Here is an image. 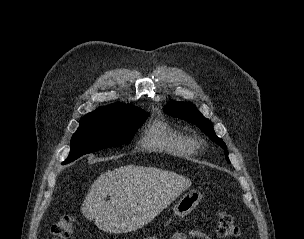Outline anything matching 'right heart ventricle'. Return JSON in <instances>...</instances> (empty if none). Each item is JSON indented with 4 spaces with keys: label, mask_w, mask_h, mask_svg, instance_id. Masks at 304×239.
Instances as JSON below:
<instances>
[{
    "label": "right heart ventricle",
    "mask_w": 304,
    "mask_h": 239,
    "mask_svg": "<svg viewBox=\"0 0 304 239\" xmlns=\"http://www.w3.org/2000/svg\"><path fill=\"white\" fill-rule=\"evenodd\" d=\"M141 144L149 150L182 157L193 155L196 150L195 142L190 136L162 120H155L145 128Z\"/></svg>",
    "instance_id": "e07e8e85"
}]
</instances>
